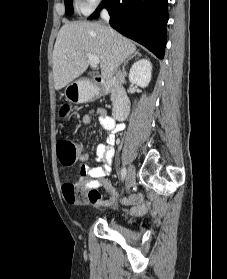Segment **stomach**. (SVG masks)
Wrapping results in <instances>:
<instances>
[{"label": "stomach", "instance_id": "1", "mask_svg": "<svg viewBox=\"0 0 227 279\" xmlns=\"http://www.w3.org/2000/svg\"><path fill=\"white\" fill-rule=\"evenodd\" d=\"M64 96L69 102L81 103L90 100L94 96V92L91 86L76 81L67 85Z\"/></svg>", "mask_w": 227, "mask_h": 279}]
</instances>
